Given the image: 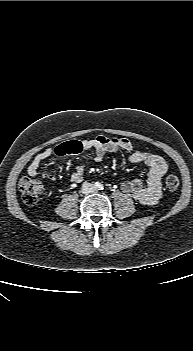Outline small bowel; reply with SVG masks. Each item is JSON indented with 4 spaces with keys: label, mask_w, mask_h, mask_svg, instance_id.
<instances>
[{
    "label": "small bowel",
    "mask_w": 193,
    "mask_h": 351,
    "mask_svg": "<svg viewBox=\"0 0 193 351\" xmlns=\"http://www.w3.org/2000/svg\"><path fill=\"white\" fill-rule=\"evenodd\" d=\"M87 150L93 151L94 160L97 162L101 161L110 152L121 150L129 152L130 162L145 165L148 168V173L145 182L140 179L123 182L121 184L122 192L145 205H153L159 201L162 195L161 181L168 169L167 161L159 155L134 150L131 141L124 137L110 138L99 135L83 141L68 140L67 142L59 143L53 149L46 148L38 153L29 164L27 172L34 177L38 174L41 163L47 158L52 157L54 160H64L66 157L83 155ZM47 177L52 179L54 176L52 173H48ZM83 179L84 166L78 164L71 175V181L80 183Z\"/></svg>",
    "instance_id": "c3829d8e"
}]
</instances>
